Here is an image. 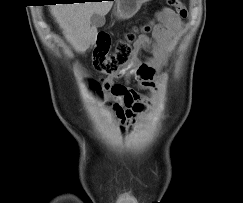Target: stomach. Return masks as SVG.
Here are the masks:
<instances>
[{
  "instance_id": "obj_1",
  "label": "stomach",
  "mask_w": 243,
  "mask_h": 203,
  "mask_svg": "<svg viewBox=\"0 0 243 203\" xmlns=\"http://www.w3.org/2000/svg\"><path fill=\"white\" fill-rule=\"evenodd\" d=\"M149 0H117L114 15L118 19H129L133 17L141 5Z\"/></svg>"
}]
</instances>
